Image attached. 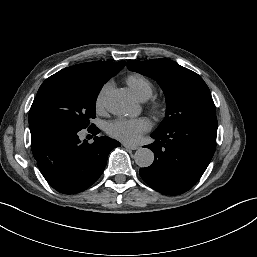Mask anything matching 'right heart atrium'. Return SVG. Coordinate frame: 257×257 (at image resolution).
Listing matches in <instances>:
<instances>
[{
    "label": "right heart atrium",
    "instance_id": "1",
    "mask_svg": "<svg viewBox=\"0 0 257 257\" xmlns=\"http://www.w3.org/2000/svg\"><path fill=\"white\" fill-rule=\"evenodd\" d=\"M109 86H110V84L106 83L101 88V90L99 91V93L96 97L95 106H96V109L98 111L103 110V108H104L105 96H106V93H107V90H108Z\"/></svg>",
    "mask_w": 257,
    "mask_h": 257
}]
</instances>
